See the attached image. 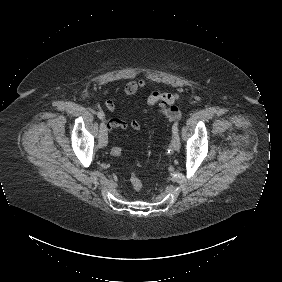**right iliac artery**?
I'll return each instance as SVG.
<instances>
[{
  "label": "right iliac artery",
  "instance_id": "right-iliac-artery-1",
  "mask_svg": "<svg viewBox=\"0 0 282 282\" xmlns=\"http://www.w3.org/2000/svg\"><path fill=\"white\" fill-rule=\"evenodd\" d=\"M97 116H98L100 119H103V118H104V113L101 112V111H98V112H97Z\"/></svg>",
  "mask_w": 282,
  "mask_h": 282
}]
</instances>
